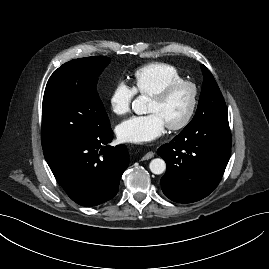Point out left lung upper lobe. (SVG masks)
Here are the masks:
<instances>
[{"mask_svg":"<svg viewBox=\"0 0 269 269\" xmlns=\"http://www.w3.org/2000/svg\"><path fill=\"white\" fill-rule=\"evenodd\" d=\"M201 69L204 81L197 111L185 128L212 121H228L226 104L213 75L204 65H201Z\"/></svg>","mask_w":269,"mask_h":269,"instance_id":"1","label":"left lung upper lobe"}]
</instances>
